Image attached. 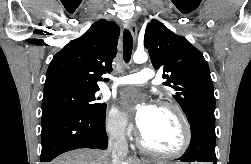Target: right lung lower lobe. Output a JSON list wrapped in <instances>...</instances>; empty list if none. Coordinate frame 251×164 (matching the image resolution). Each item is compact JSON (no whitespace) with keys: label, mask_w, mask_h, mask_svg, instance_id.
Listing matches in <instances>:
<instances>
[{"label":"right lung lower lobe","mask_w":251,"mask_h":164,"mask_svg":"<svg viewBox=\"0 0 251 164\" xmlns=\"http://www.w3.org/2000/svg\"><path fill=\"white\" fill-rule=\"evenodd\" d=\"M105 110L100 113L50 109L42 114L41 162L78 148L106 149Z\"/></svg>","instance_id":"obj_1"}]
</instances>
